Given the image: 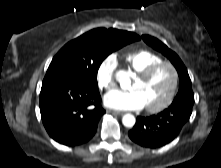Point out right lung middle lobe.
<instances>
[{"label":"right lung middle lobe","instance_id":"dd1d6c3e","mask_svg":"<svg viewBox=\"0 0 221 168\" xmlns=\"http://www.w3.org/2000/svg\"><path fill=\"white\" fill-rule=\"evenodd\" d=\"M138 40L136 34L116 29L97 28L68 42L53 58L46 76H65L97 84L102 61L113 51Z\"/></svg>","mask_w":221,"mask_h":168}]
</instances>
